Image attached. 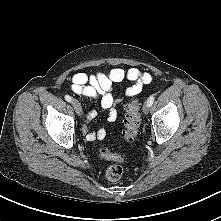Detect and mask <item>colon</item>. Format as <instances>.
Segmentation results:
<instances>
[{"instance_id": "1", "label": "colon", "mask_w": 221, "mask_h": 221, "mask_svg": "<svg viewBox=\"0 0 221 221\" xmlns=\"http://www.w3.org/2000/svg\"><path fill=\"white\" fill-rule=\"evenodd\" d=\"M140 125V103L134 100L125 106L124 115V129L122 131L123 140L126 142H133L137 135ZM100 158L114 162L109 165L105 171V176L110 181H117L123 173L120 163L123 157L117 153L112 152L107 147H102L98 150Z\"/></svg>"}]
</instances>
